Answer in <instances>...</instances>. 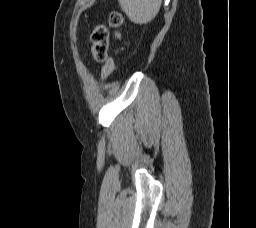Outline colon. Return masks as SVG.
<instances>
[{
  "label": "colon",
  "mask_w": 256,
  "mask_h": 228,
  "mask_svg": "<svg viewBox=\"0 0 256 228\" xmlns=\"http://www.w3.org/2000/svg\"><path fill=\"white\" fill-rule=\"evenodd\" d=\"M123 24V15L119 11L111 12L109 16V25L111 28H119ZM92 58L96 62H103L101 70V79L108 78L116 68V62L113 57L107 54L109 46V33L107 28L102 25H96L91 34Z\"/></svg>",
  "instance_id": "obj_1"
}]
</instances>
